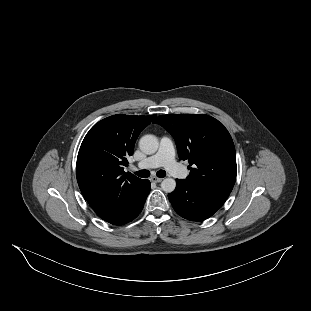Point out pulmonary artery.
<instances>
[{
  "label": "pulmonary artery",
  "instance_id": "pulmonary-artery-1",
  "mask_svg": "<svg viewBox=\"0 0 311 311\" xmlns=\"http://www.w3.org/2000/svg\"><path fill=\"white\" fill-rule=\"evenodd\" d=\"M179 166L180 164L175 160L174 144L167 136H164L160 139L158 151L156 154L144 159L137 164L139 169L163 167L171 174H173Z\"/></svg>",
  "mask_w": 311,
  "mask_h": 311
}]
</instances>
